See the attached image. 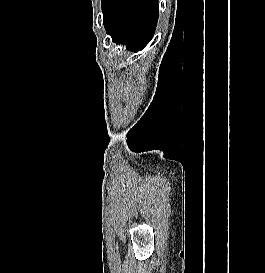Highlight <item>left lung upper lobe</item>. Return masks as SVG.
<instances>
[{
  "label": "left lung upper lobe",
  "instance_id": "1",
  "mask_svg": "<svg viewBox=\"0 0 265 273\" xmlns=\"http://www.w3.org/2000/svg\"><path fill=\"white\" fill-rule=\"evenodd\" d=\"M105 16H106V11L103 10V18H105Z\"/></svg>",
  "mask_w": 265,
  "mask_h": 273
}]
</instances>
